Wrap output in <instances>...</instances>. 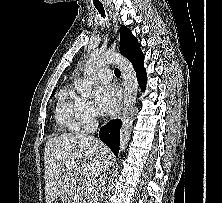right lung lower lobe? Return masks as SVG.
Wrapping results in <instances>:
<instances>
[{
	"instance_id": "right-lung-lower-lobe-1",
	"label": "right lung lower lobe",
	"mask_w": 222,
	"mask_h": 203,
	"mask_svg": "<svg viewBox=\"0 0 222 203\" xmlns=\"http://www.w3.org/2000/svg\"><path fill=\"white\" fill-rule=\"evenodd\" d=\"M120 126L121 120H111L100 129V139L113 151L115 156L118 155L120 145Z\"/></svg>"
}]
</instances>
